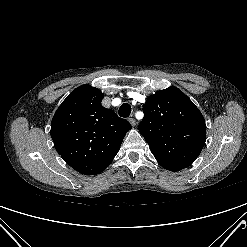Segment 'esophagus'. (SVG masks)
Wrapping results in <instances>:
<instances>
[{"label": "esophagus", "mask_w": 247, "mask_h": 247, "mask_svg": "<svg viewBox=\"0 0 247 247\" xmlns=\"http://www.w3.org/2000/svg\"><path fill=\"white\" fill-rule=\"evenodd\" d=\"M129 122H130V124L134 127V126H136V120L134 119V118H129Z\"/></svg>", "instance_id": "obj_1"}]
</instances>
